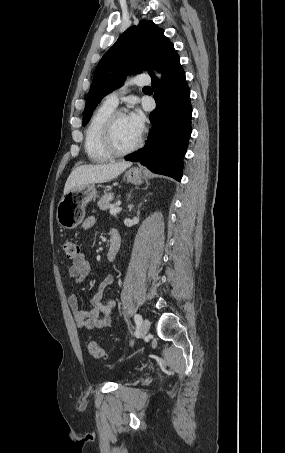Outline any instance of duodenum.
I'll return each instance as SVG.
<instances>
[{"instance_id": "1", "label": "duodenum", "mask_w": 285, "mask_h": 453, "mask_svg": "<svg viewBox=\"0 0 285 453\" xmlns=\"http://www.w3.org/2000/svg\"><path fill=\"white\" fill-rule=\"evenodd\" d=\"M120 248V238L112 237L110 238L109 248L106 253V258L108 261H113L118 254Z\"/></svg>"}]
</instances>
